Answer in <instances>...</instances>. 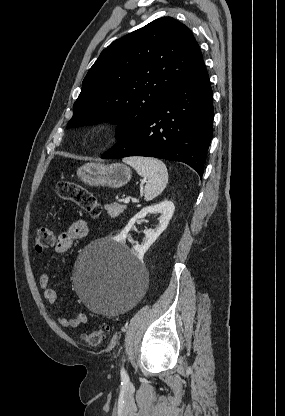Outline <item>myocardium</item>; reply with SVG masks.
<instances>
[{"instance_id": "myocardium-1", "label": "myocardium", "mask_w": 285, "mask_h": 416, "mask_svg": "<svg viewBox=\"0 0 285 416\" xmlns=\"http://www.w3.org/2000/svg\"><path fill=\"white\" fill-rule=\"evenodd\" d=\"M108 131L103 126H94L90 128L85 136V144L89 148H99L108 141Z\"/></svg>"}]
</instances>
